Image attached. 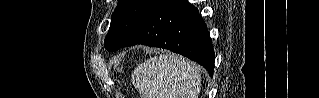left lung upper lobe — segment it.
<instances>
[{
	"label": "left lung upper lobe",
	"instance_id": "obj_1",
	"mask_svg": "<svg viewBox=\"0 0 319 98\" xmlns=\"http://www.w3.org/2000/svg\"><path fill=\"white\" fill-rule=\"evenodd\" d=\"M157 0H119L111 17L104 47L116 51L138 30Z\"/></svg>",
	"mask_w": 319,
	"mask_h": 98
}]
</instances>
